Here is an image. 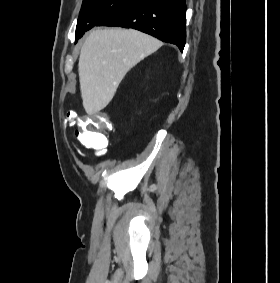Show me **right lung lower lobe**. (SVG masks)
I'll return each mask as SVG.
<instances>
[{
    "instance_id": "98d812e1",
    "label": "right lung lower lobe",
    "mask_w": 280,
    "mask_h": 283,
    "mask_svg": "<svg viewBox=\"0 0 280 283\" xmlns=\"http://www.w3.org/2000/svg\"><path fill=\"white\" fill-rule=\"evenodd\" d=\"M97 26L133 28L183 51L186 42L185 0H134Z\"/></svg>"
}]
</instances>
